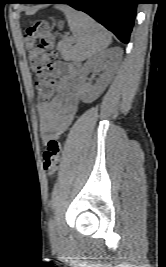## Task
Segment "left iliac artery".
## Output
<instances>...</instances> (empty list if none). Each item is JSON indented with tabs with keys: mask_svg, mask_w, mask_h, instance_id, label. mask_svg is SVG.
<instances>
[{
	"mask_svg": "<svg viewBox=\"0 0 166 267\" xmlns=\"http://www.w3.org/2000/svg\"><path fill=\"white\" fill-rule=\"evenodd\" d=\"M54 226H55V222L53 219H50L49 223H48V227L50 232H52L54 230Z\"/></svg>",
	"mask_w": 166,
	"mask_h": 267,
	"instance_id": "1",
	"label": "left iliac artery"
}]
</instances>
